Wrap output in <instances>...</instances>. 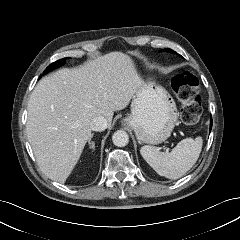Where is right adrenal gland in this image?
Instances as JSON below:
<instances>
[{
  "instance_id": "2a0ac1e0",
  "label": "right adrenal gland",
  "mask_w": 240,
  "mask_h": 240,
  "mask_svg": "<svg viewBox=\"0 0 240 240\" xmlns=\"http://www.w3.org/2000/svg\"><path fill=\"white\" fill-rule=\"evenodd\" d=\"M93 137V134L91 135V138ZM91 138L89 139L88 141V144H89V147L94 150L95 149V143L94 142H91Z\"/></svg>"
}]
</instances>
